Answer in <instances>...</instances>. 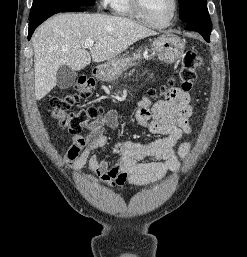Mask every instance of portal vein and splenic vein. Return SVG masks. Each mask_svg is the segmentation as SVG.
I'll return each mask as SVG.
<instances>
[{
  "mask_svg": "<svg viewBox=\"0 0 247 257\" xmlns=\"http://www.w3.org/2000/svg\"><path fill=\"white\" fill-rule=\"evenodd\" d=\"M94 45V40L88 39L84 42V47L85 48H91Z\"/></svg>",
  "mask_w": 247,
  "mask_h": 257,
  "instance_id": "obj_1",
  "label": "portal vein and splenic vein"
}]
</instances>
